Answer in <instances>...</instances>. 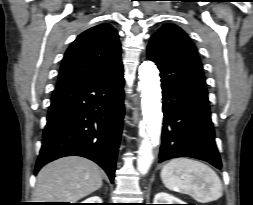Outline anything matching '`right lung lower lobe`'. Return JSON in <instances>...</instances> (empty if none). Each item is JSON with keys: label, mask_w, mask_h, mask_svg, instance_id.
I'll list each match as a JSON object with an SVG mask.
<instances>
[{"label": "right lung lower lobe", "mask_w": 253, "mask_h": 205, "mask_svg": "<svg viewBox=\"0 0 253 205\" xmlns=\"http://www.w3.org/2000/svg\"><path fill=\"white\" fill-rule=\"evenodd\" d=\"M124 78L120 66L86 82L57 88L52 95L35 173L64 156H82L115 177L123 117Z\"/></svg>", "instance_id": "right-lung-lower-lobe-1"}]
</instances>
